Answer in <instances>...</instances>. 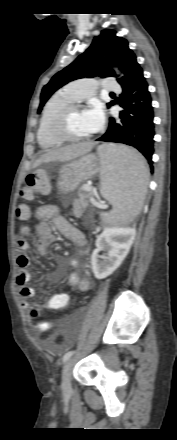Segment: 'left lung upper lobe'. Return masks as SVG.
<instances>
[{"instance_id":"left-lung-upper-lobe-1","label":"left lung upper lobe","mask_w":177,"mask_h":440,"mask_svg":"<svg viewBox=\"0 0 177 440\" xmlns=\"http://www.w3.org/2000/svg\"><path fill=\"white\" fill-rule=\"evenodd\" d=\"M111 66H118L124 73L123 79H118L122 86L126 85L135 71L140 68L135 54L128 47V41L118 37L116 31L107 29L94 38L84 53L69 66L55 74L50 82L44 86L38 113L49 97L70 81L97 75L101 77L115 76ZM113 104L110 102L107 106L110 107Z\"/></svg>"}]
</instances>
